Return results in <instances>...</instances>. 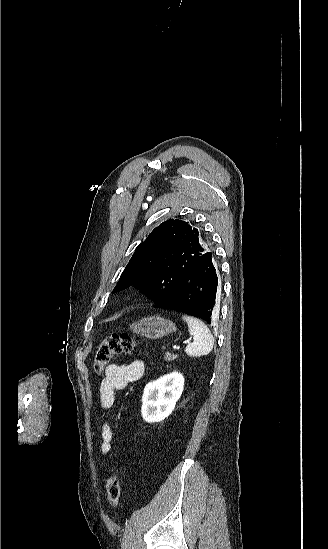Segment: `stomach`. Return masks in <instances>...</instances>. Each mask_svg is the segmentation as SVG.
Returning <instances> with one entry per match:
<instances>
[{"label":"stomach","mask_w":328,"mask_h":549,"mask_svg":"<svg viewBox=\"0 0 328 549\" xmlns=\"http://www.w3.org/2000/svg\"><path fill=\"white\" fill-rule=\"evenodd\" d=\"M131 331L140 335V337H146V339H161L166 337L170 333H176V325L168 319H163L160 315H154V317H144L136 323L130 325Z\"/></svg>","instance_id":"stomach-1"}]
</instances>
